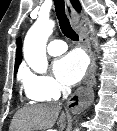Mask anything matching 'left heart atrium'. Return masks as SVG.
<instances>
[{
	"label": "left heart atrium",
	"instance_id": "left-heart-atrium-1",
	"mask_svg": "<svg viewBox=\"0 0 117 131\" xmlns=\"http://www.w3.org/2000/svg\"><path fill=\"white\" fill-rule=\"evenodd\" d=\"M86 70V59L79 51H72L54 64L56 77L65 85H74L81 80Z\"/></svg>",
	"mask_w": 117,
	"mask_h": 131
}]
</instances>
